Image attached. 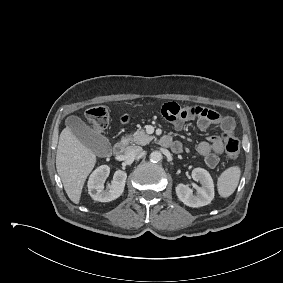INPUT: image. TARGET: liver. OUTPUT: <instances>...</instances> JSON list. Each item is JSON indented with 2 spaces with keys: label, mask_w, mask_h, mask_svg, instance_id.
Masks as SVG:
<instances>
[{
  "label": "liver",
  "mask_w": 283,
  "mask_h": 283,
  "mask_svg": "<svg viewBox=\"0 0 283 283\" xmlns=\"http://www.w3.org/2000/svg\"><path fill=\"white\" fill-rule=\"evenodd\" d=\"M96 164V154L84 146L67 126L60 134L56 169L69 199L78 204L84 183Z\"/></svg>",
  "instance_id": "6515ba94"
}]
</instances>
